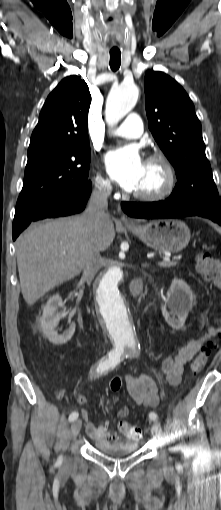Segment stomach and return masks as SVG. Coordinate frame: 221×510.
I'll return each mask as SVG.
<instances>
[{
	"instance_id": "obj_1",
	"label": "stomach",
	"mask_w": 221,
	"mask_h": 510,
	"mask_svg": "<svg viewBox=\"0 0 221 510\" xmlns=\"http://www.w3.org/2000/svg\"><path fill=\"white\" fill-rule=\"evenodd\" d=\"M126 227L148 247L173 253L183 250L191 236L188 226L177 219L154 220L136 227Z\"/></svg>"
}]
</instances>
